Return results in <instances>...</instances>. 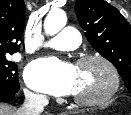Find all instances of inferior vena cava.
Segmentation results:
<instances>
[{
	"label": "inferior vena cava",
	"mask_w": 131,
	"mask_h": 115,
	"mask_svg": "<svg viewBox=\"0 0 131 115\" xmlns=\"http://www.w3.org/2000/svg\"><path fill=\"white\" fill-rule=\"evenodd\" d=\"M25 100L22 107L18 110V115H40L44 107L48 104V99L44 95L33 94L25 91Z\"/></svg>",
	"instance_id": "obj_1"
}]
</instances>
